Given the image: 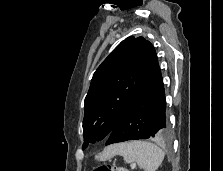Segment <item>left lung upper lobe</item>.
<instances>
[{"label":"left lung upper lobe","instance_id":"left-lung-upper-lobe-1","mask_svg":"<svg viewBox=\"0 0 223 171\" xmlns=\"http://www.w3.org/2000/svg\"><path fill=\"white\" fill-rule=\"evenodd\" d=\"M156 63L152 44L134 36L123 40L102 62L85 98L83 149L112 132Z\"/></svg>","mask_w":223,"mask_h":171}]
</instances>
